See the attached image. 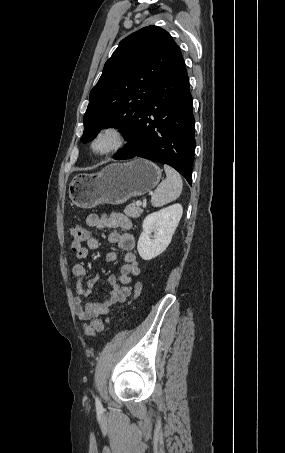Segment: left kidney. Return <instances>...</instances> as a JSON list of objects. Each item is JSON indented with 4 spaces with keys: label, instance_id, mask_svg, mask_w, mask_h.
I'll use <instances>...</instances> for the list:
<instances>
[{
    "label": "left kidney",
    "instance_id": "left-kidney-1",
    "mask_svg": "<svg viewBox=\"0 0 285 453\" xmlns=\"http://www.w3.org/2000/svg\"><path fill=\"white\" fill-rule=\"evenodd\" d=\"M181 204H173L149 214L143 221V231L139 237L137 250L144 260H151L163 253L182 217ZM152 233L153 238L152 237Z\"/></svg>",
    "mask_w": 285,
    "mask_h": 453
}]
</instances>
